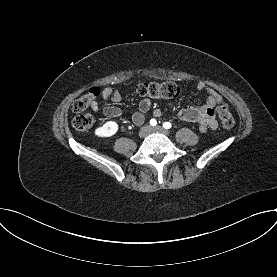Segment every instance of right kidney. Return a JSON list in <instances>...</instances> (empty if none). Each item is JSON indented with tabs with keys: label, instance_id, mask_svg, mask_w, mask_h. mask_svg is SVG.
Masks as SVG:
<instances>
[{
	"label": "right kidney",
	"instance_id": "obj_1",
	"mask_svg": "<svg viewBox=\"0 0 277 277\" xmlns=\"http://www.w3.org/2000/svg\"><path fill=\"white\" fill-rule=\"evenodd\" d=\"M118 130V124L115 121H108L103 126L95 130V135L98 137H111Z\"/></svg>",
	"mask_w": 277,
	"mask_h": 277
}]
</instances>
